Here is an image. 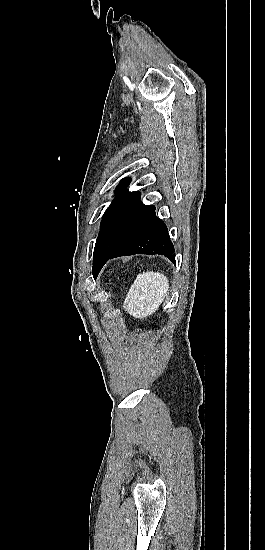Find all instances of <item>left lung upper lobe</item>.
<instances>
[{"label": "left lung upper lobe", "instance_id": "5c2ea615", "mask_svg": "<svg viewBox=\"0 0 265 550\" xmlns=\"http://www.w3.org/2000/svg\"><path fill=\"white\" fill-rule=\"evenodd\" d=\"M130 181V177L122 179L115 190L116 198L102 217L94 254L105 255L114 249L155 208L153 205L146 206L140 201V192L126 190Z\"/></svg>", "mask_w": 265, "mask_h": 550}]
</instances>
